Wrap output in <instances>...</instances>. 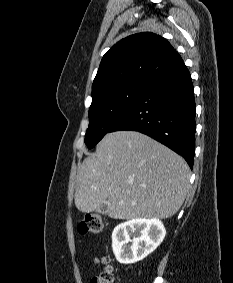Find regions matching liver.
I'll return each mask as SVG.
<instances>
[{"mask_svg":"<svg viewBox=\"0 0 233 283\" xmlns=\"http://www.w3.org/2000/svg\"><path fill=\"white\" fill-rule=\"evenodd\" d=\"M189 179L180 155L140 132L115 131L82 162L75 205L81 212L105 207L114 219H166L182 206Z\"/></svg>","mask_w":233,"mask_h":283,"instance_id":"obj_1","label":"liver"}]
</instances>
